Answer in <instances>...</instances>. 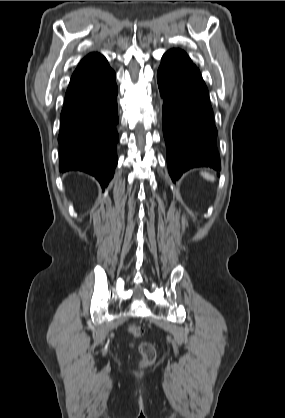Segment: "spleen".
Here are the masks:
<instances>
[{"label": "spleen", "instance_id": "1", "mask_svg": "<svg viewBox=\"0 0 285 418\" xmlns=\"http://www.w3.org/2000/svg\"><path fill=\"white\" fill-rule=\"evenodd\" d=\"M201 176L206 179L207 181H211L213 182L215 180L214 176H212L211 174L207 173V172H201L200 173Z\"/></svg>", "mask_w": 285, "mask_h": 418}]
</instances>
